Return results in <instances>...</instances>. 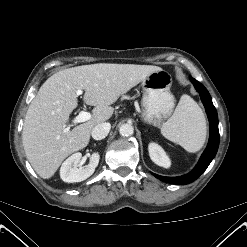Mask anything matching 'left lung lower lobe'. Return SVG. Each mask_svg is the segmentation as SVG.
<instances>
[{"label": "left lung lower lobe", "mask_w": 247, "mask_h": 247, "mask_svg": "<svg viewBox=\"0 0 247 247\" xmlns=\"http://www.w3.org/2000/svg\"><path fill=\"white\" fill-rule=\"evenodd\" d=\"M191 82L194 84L196 90L201 96V100L204 104L209 123H210V137L208 145L203 152L198 164L188 174L179 177H164L157 174H153L156 178L172 184H188L196 180L209 166L213 158L215 157L219 146V130H218V116L216 109L212 103L211 96L207 89L197 80L190 77Z\"/></svg>", "instance_id": "0a47b994"}]
</instances>
